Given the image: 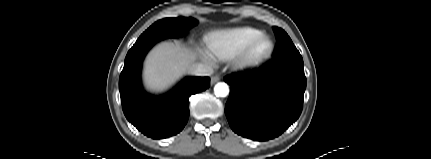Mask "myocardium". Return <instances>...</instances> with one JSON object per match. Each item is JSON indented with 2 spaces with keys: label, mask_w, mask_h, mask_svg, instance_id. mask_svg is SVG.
<instances>
[{
  "label": "myocardium",
  "mask_w": 431,
  "mask_h": 159,
  "mask_svg": "<svg viewBox=\"0 0 431 159\" xmlns=\"http://www.w3.org/2000/svg\"><path fill=\"white\" fill-rule=\"evenodd\" d=\"M265 43L264 48L260 46ZM274 50L273 40L261 33L251 39L242 49L234 55V66L238 69H246L256 66L268 59Z\"/></svg>",
  "instance_id": "1"
}]
</instances>
